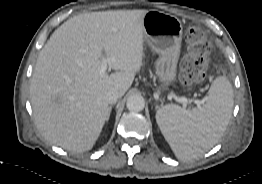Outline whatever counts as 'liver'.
<instances>
[{"mask_svg":"<svg viewBox=\"0 0 262 184\" xmlns=\"http://www.w3.org/2000/svg\"><path fill=\"white\" fill-rule=\"evenodd\" d=\"M147 10H112L68 19L40 51L30 83L43 137L72 153L93 148L110 116L106 93L121 96L143 62ZM116 72L101 73L102 64Z\"/></svg>","mask_w":262,"mask_h":184,"instance_id":"obj_1","label":"liver"}]
</instances>
